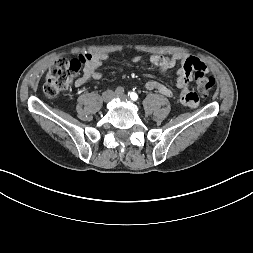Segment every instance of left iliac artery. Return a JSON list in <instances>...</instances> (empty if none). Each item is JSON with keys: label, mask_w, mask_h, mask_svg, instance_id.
<instances>
[{"label": "left iliac artery", "mask_w": 253, "mask_h": 253, "mask_svg": "<svg viewBox=\"0 0 253 253\" xmlns=\"http://www.w3.org/2000/svg\"><path fill=\"white\" fill-rule=\"evenodd\" d=\"M129 95H130V98L134 101H136L138 99V95L135 92H131V93H129Z\"/></svg>", "instance_id": "obj_1"}]
</instances>
